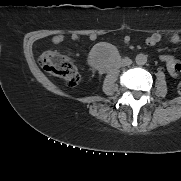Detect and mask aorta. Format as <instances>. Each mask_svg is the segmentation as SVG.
Listing matches in <instances>:
<instances>
[{
	"mask_svg": "<svg viewBox=\"0 0 181 181\" xmlns=\"http://www.w3.org/2000/svg\"><path fill=\"white\" fill-rule=\"evenodd\" d=\"M135 62L137 65H145L147 63V55L138 54L135 58Z\"/></svg>",
	"mask_w": 181,
	"mask_h": 181,
	"instance_id": "1",
	"label": "aorta"
}]
</instances>
